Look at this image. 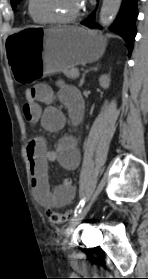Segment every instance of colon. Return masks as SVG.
<instances>
[{
    "instance_id": "1",
    "label": "colon",
    "mask_w": 148,
    "mask_h": 279,
    "mask_svg": "<svg viewBox=\"0 0 148 279\" xmlns=\"http://www.w3.org/2000/svg\"><path fill=\"white\" fill-rule=\"evenodd\" d=\"M34 98H35L34 87L27 88L25 90L26 103L32 102L34 100ZM45 216H46L47 220L52 224H63L68 220L69 213L59 212L57 210L47 208L45 210Z\"/></svg>"
}]
</instances>
